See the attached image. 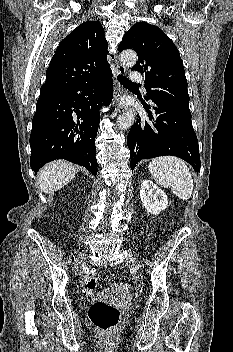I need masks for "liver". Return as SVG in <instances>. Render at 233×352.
<instances>
[{
    "label": "liver",
    "instance_id": "liver-1",
    "mask_svg": "<svg viewBox=\"0 0 233 352\" xmlns=\"http://www.w3.org/2000/svg\"><path fill=\"white\" fill-rule=\"evenodd\" d=\"M78 168L64 160L54 161L44 166L38 174L40 188L44 193L57 191L68 184Z\"/></svg>",
    "mask_w": 233,
    "mask_h": 352
}]
</instances>
